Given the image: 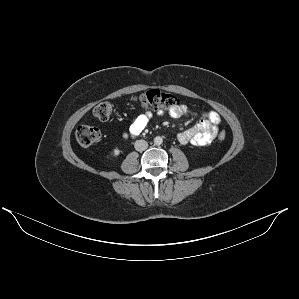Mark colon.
<instances>
[{
  "label": "colon",
  "mask_w": 299,
  "mask_h": 299,
  "mask_svg": "<svg viewBox=\"0 0 299 299\" xmlns=\"http://www.w3.org/2000/svg\"><path fill=\"white\" fill-rule=\"evenodd\" d=\"M130 104L134 107L150 109L153 111L171 110L178 105V98L169 92L159 89H150L130 98ZM114 111V105L110 101H102L93 109V115L101 120L106 121L111 118ZM100 137L99 130L94 126L82 125L76 130V140L82 146H90L98 141ZM226 133L221 131L218 134L219 140H224Z\"/></svg>",
  "instance_id": "1"
}]
</instances>
